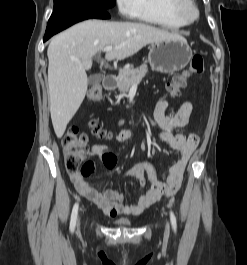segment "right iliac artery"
<instances>
[{
  "label": "right iliac artery",
  "instance_id": "obj_1",
  "mask_svg": "<svg viewBox=\"0 0 247 265\" xmlns=\"http://www.w3.org/2000/svg\"><path fill=\"white\" fill-rule=\"evenodd\" d=\"M77 214H78V203H75L72 214H71V220H70V231L73 232L76 226L77 221Z\"/></svg>",
  "mask_w": 247,
  "mask_h": 265
}]
</instances>
